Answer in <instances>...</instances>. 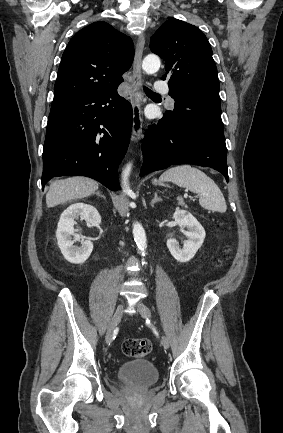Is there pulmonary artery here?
Instances as JSON below:
<instances>
[{"label": "pulmonary artery", "instance_id": "1", "mask_svg": "<svg viewBox=\"0 0 283 433\" xmlns=\"http://www.w3.org/2000/svg\"><path fill=\"white\" fill-rule=\"evenodd\" d=\"M153 91L159 92L161 96H168L170 93L168 83H162V80H157V83L153 84ZM171 104L174 103V99H170Z\"/></svg>", "mask_w": 283, "mask_h": 433}]
</instances>
